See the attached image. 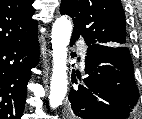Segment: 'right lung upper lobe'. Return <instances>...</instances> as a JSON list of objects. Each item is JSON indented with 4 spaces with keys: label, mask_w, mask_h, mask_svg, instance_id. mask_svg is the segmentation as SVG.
Returning <instances> with one entry per match:
<instances>
[{
    "label": "right lung upper lobe",
    "mask_w": 142,
    "mask_h": 119,
    "mask_svg": "<svg viewBox=\"0 0 142 119\" xmlns=\"http://www.w3.org/2000/svg\"><path fill=\"white\" fill-rule=\"evenodd\" d=\"M33 0H0V48L24 41L37 32Z\"/></svg>",
    "instance_id": "obj_1"
}]
</instances>
